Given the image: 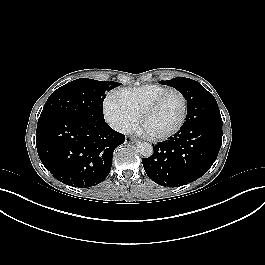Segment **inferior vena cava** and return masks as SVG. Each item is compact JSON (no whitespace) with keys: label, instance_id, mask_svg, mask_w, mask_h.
<instances>
[{"label":"inferior vena cava","instance_id":"inferior-vena-cava-1","mask_svg":"<svg viewBox=\"0 0 265 265\" xmlns=\"http://www.w3.org/2000/svg\"><path fill=\"white\" fill-rule=\"evenodd\" d=\"M109 124H110V126H111L114 130H116V131H118V132H121V133H127V131H128V127H127V125L124 124V123L121 122V121L111 120V121L109 122Z\"/></svg>","mask_w":265,"mask_h":265}]
</instances>
